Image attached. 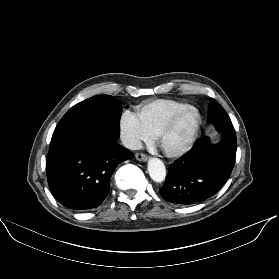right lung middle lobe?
I'll return each instance as SVG.
<instances>
[{"label": "right lung middle lobe", "mask_w": 279, "mask_h": 279, "mask_svg": "<svg viewBox=\"0 0 279 279\" xmlns=\"http://www.w3.org/2000/svg\"><path fill=\"white\" fill-rule=\"evenodd\" d=\"M120 102L110 95H97L74 105L56 126L52 139L70 134L78 129L112 120L118 123Z\"/></svg>", "instance_id": "right-lung-middle-lobe-1"}]
</instances>
